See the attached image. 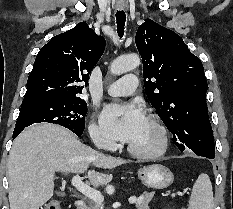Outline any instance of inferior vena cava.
I'll return each instance as SVG.
<instances>
[{"label":"inferior vena cava","instance_id":"602c4592","mask_svg":"<svg viewBox=\"0 0 233 209\" xmlns=\"http://www.w3.org/2000/svg\"><path fill=\"white\" fill-rule=\"evenodd\" d=\"M96 145H97L98 147H101V146H102V143L96 142Z\"/></svg>","mask_w":233,"mask_h":209}]
</instances>
